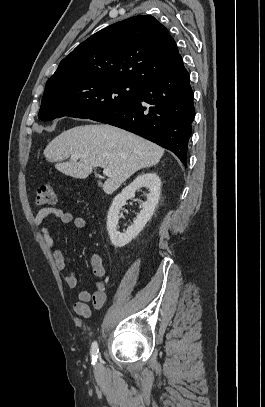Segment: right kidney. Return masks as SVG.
I'll return each mask as SVG.
<instances>
[{
  "instance_id": "1",
  "label": "right kidney",
  "mask_w": 265,
  "mask_h": 407,
  "mask_svg": "<svg viewBox=\"0 0 265 407\" xmlns=\"http://www.w3.org/2000/svg\"><path fill=\"white\" fill-rule=\"evenodd\" d=\"M147 187L150 193L147 195V201L142 203V210L134 223L127 228L124 233L117 230L119 221V212L126 200L135 196V191ZM161 192V180L155 173H146L139 175L130 185L118 194L109 208L107 216V230L110 240L115 247H123L133 240L145 227L151 219L156 205L158 204Z\"/></svg>"
}]
</instances>
